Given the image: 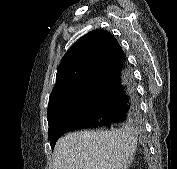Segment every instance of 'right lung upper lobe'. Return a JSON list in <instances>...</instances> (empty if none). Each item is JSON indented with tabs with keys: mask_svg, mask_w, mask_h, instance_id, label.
Listing matches in <instances>:
<instances>
[{
	"mask_svg": "<svg viewBox=\"0 0 177 169\" xmlns=\"http://www.w3.org/2000/svg\"><path fill=\"white\" fill-rule=\"evenodd\" d=\"M123 52L108 31L94 30L77 40L67 51L56 74L49 106L62 100Z\"/></svg>",
	"mask_w": 177,
	"mask_h": 169,
	"instance_id": "obj_1",
	"label": "right lung upper lobe"
}]
</instances>
